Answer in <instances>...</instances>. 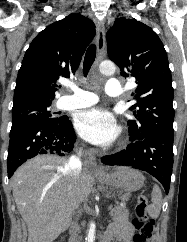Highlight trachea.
Returning <instances> with one entry per match:
<instances>
[{"instance_id": "1", "label": "trachea", "mask_w": 187, "mask_h": 242, "mask_svg": "<svg viewBox=\"0 0 187 242\" xmlns=\"http://www.w3.org/2000/svg\"><path fill=\"white\" fill-rule=\"evenodd\" d=\"M96 58V46L91 44L85 54L83 69H84V76L86 77L92 64L94 63Z\"/></svg>"}]
</instances>
